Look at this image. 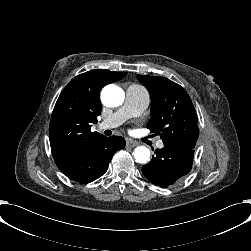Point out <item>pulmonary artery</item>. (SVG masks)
Returning <instances> with one entry per match:
<instances>
[{"label":"pulmonary artery","instance_id":"e3ab8cb5","mask_svg":"<svg viewBox=\"0 0 251 251\" xmlns=\"http://www.w3.org/2000/svg\"><path fill=\"white\" fill-rule=\"evenodd\" d=\"M147 94L136 84H130L126 88L124 104L117 111L106 117L97 125L98 130H108L122 125L131 117L140 116L148 107ZM158 148H163V142L156 143Z\"/></svg>","mask_w":251,"mask_h":251}]
</instances>
